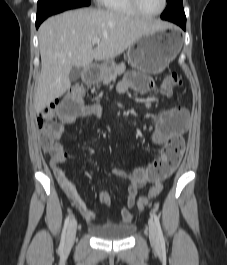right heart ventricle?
I'll return each mask as SVG.
<instances>
[{"label":"right heart ventricle","mask_w":227,"mask_h":265,"mask_svg":"<svg viewBox=\"0 0 227 265\" xmlns=\"http://www.w3.org/2000/svg\"><path fill=\"white\" fill-rule=\"evenodd\" d=\"M106 10L128 16H138L130 0H99Z\"/></svg>","instance_id":"right-heart-ventricle-1"}]
</instances>
